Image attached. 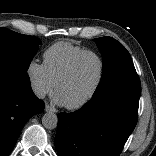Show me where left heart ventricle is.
Wrapping results in <instances>:
<instances>
[{"mask_svg":"<svg viewBox=\"0 0 156 156\" xmlns=\"http://www.w3.org/2000/svg\"><path fill=\"white\" fill-rule=\"evenodd\" d=\"M100 74L99 60L88 55L76 65L70 78L57 91L64 104H74L86 97L95 86Z\"/></svg>","mask_w":156,"mask_h":156,"instance_id":"1","label":"left heart ventricle"}]
</instances>
